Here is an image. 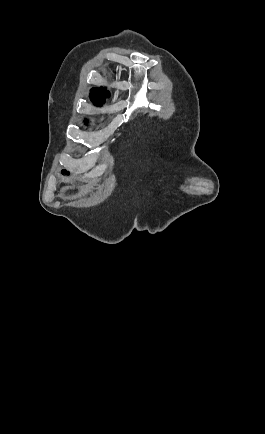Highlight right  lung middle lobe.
Listing matches in <instances>:
<instances>
[{"label": "right lung middle lobe", "mask_w": 265, "mask_h": 434, "mask_svg": "<svg viewBox=\"0 0 265 434\" xmlns=\"http://www.w3.org/2000/svg\"><path fill=\"white\" fill-rule=\"evenodd\" d=\"M90 98H91V100L93 101V103L95 104V105H101V104H103L104 103V99H102V98H97V97H92V96H90ZM63 173L65 172L66 173V171H62ZM68 173V172H67Z\"/></svg>", "instance_id": "1"}]
</instances>
